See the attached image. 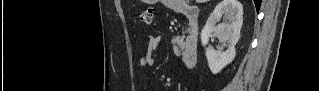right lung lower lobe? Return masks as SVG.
I'll return each instance as SVG.
<instances>
[{
	"label": "right lung lower lobe",
	"mask_w": 319,
	"mask_h": 91,
	"mask_svg": "<svg viewBox=\"0 0 319 91\" xmlns=\"http://www.w3.org/2000/svg\"><path fill=\"white\" fill-rule=\"evenodd\" d=\"M254 3H255L257 12H258V11H259V8H260L261 0H254Z\"/></svg>",
	"instance_id": "1"
}]
</instances>
